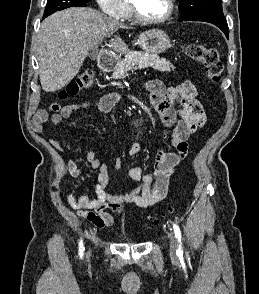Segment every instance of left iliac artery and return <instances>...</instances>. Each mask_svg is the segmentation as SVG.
Segmentation results:
<instances>
[{
    "mask_svg": "<svg viewBox=\"0 0 259 294\" xmlns=\"http://www.w3.org/2000/svg\"><path fill=\"white\" fill-rule=\"evenodd\" d=\"M173 229H174V233H175V237L177 238V240H178V243H179V245H178V250L176 251V253H177V255L179 254H182L183 253V251H182V246H181V239H182V236H181V231H180V228H179V226L178 225H176V224H173Z\"/></svg>",
    "mask_w": 259,
    "mask_h": 294,
    "instance_id": "1",
    "label": "left iliac artery"
}]
</instances>
